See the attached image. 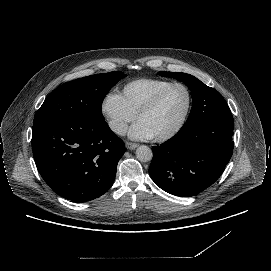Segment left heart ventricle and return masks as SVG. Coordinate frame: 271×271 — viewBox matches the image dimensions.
Masks as SVG:
<instances>
[{
  "label": "left heart ventricle",
  "mask_w": 271,
  "mask_h": 271,
  "mask_svg": "<svg viewBox=\"0 0 271 271\" xmlns=\"http://www.w3.org/2000/svg\"><path fill=\"white\" fill-rule=\"evenodd\" d=\"M189 97L182 86L173 87L162 99L158 107L142 117L152 137H159L172 131L182 120L188 107Z\"/></svg>",
  "instance_id": "b2bd125f"
}]
</instances>
